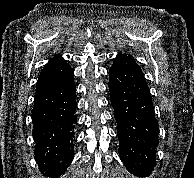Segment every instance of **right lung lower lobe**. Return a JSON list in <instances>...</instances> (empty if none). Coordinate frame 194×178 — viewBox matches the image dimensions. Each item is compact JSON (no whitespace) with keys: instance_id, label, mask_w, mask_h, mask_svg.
<instances>
[{"instance_id":"1","label":"right lung lower lobe","mask_w":194,"mask_h":178,"mask_svg":"<svg viewBox=\"0 0 194 178\" xmlns=\"http://www.w3.org/2000/svg\"><path fill=\"white\" fill-rule=\"evenodd\" d=\"M73 70L37 83L31 111L35 159L45 175H62L74 157L76 88Z\"/></svg>"}]
</instances>
